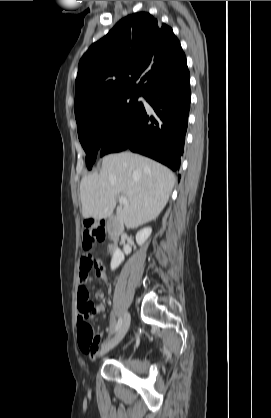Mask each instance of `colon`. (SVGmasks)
I'll list each match as a JSON object with an SVG mask.
<instances>
[{
  "label": "colon",
  "mask_w": 271,
  "mask_h": 418,
  "mask_svg": "<svg viewBox=\"0 0 271 418\" xmlns=\"http://www.w3.org/2000/svg\"><path fill=\"white\" fill-rule=\"evenodd\" d=\"M105 235V224L103 222H90L86 225V229L84 232L83 248L87 253L86 257L89 260L88 266H94V261L91 258L90 254L95 244L105 239ZM78 338L80 347L83 349L94 348L98 341V338L95 336L90 323H78Z\"/></svg>",
  "instance_id": "obj_1"
}]
</instances>
